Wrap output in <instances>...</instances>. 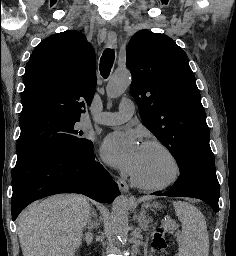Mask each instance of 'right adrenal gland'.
I'll return each instance as SVG.
<instances>
[{"mask_svg": "<svg viewBox=\"0 0 236 256\" xmlns=\"http://www.w3.org/2000/svg\"><path fill=\"white\" fill-rule=\"evenodd\" d=\"M94 218V220H93ZM100 224L98 222L97 214L95 210H91V214L87 220V230L88 232H93L94 228H99Z\"/></svg>", "mask_w": 236, "mask_h": 256, "instance_id": "obj_1", "label": "right adrenal gland"}]
</instances>
